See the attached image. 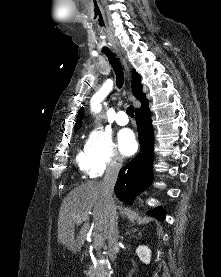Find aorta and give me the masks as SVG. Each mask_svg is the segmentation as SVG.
<instances>
[{
	"label": "aorta",
	"instance_id": "1",
	"mask_svg": "<svg viewBox=\"0 0 221 277\" xmlns=\"http://www.w3.org/2000/svg\"><path fill=\"white\" fill-rule=\"evenodd\" d=\"M93 110L95 111V112H98L99 110H100V106H98V107H93Z\"/></svg>",
	"mask_w": 221,
	"mask_h": 277
}]
</instances>
